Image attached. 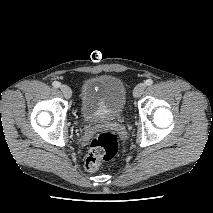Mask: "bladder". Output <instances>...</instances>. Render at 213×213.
<instances>
[{
	"instance_id": "1",
	"label": "bladder",
	"mask_w": 213,
	"mask_h": 213,
	"mask_svg": "<svg viewBox=\"0 0 213 213\" xmlns=\"http://www.w3.org/2000/svg\"><path fill=\"white\" fill-rule=\"evenodd\" d=\"M126 102V87L115 76L99 75L86 79L80 89V112L88 123L118 119Z\"/></svg>"
}]
</instances>
